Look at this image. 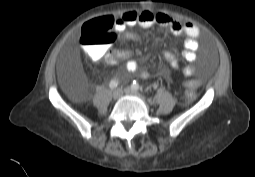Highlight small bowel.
Returning <instances> with one entry per match:
<instances>
[{
	"label": "small bowel",
	"mask_w": 255,
	"mask_h": 177,
	"mask_svg": "<svg viewBox=\"0 0 255 177\" xmlns=\"http://www.w3.org/2000/svg\"><path fill=\"white\" fill-rule=\"evenodd\" d=\"M105 18L108 20L112 28L117 32L122 33V38L124 40H137V37L134 34L125 32L128 27L137 25L141 27H150L158 25L168 28L172 34L185 37L184 49L182 51L183 59L192 63L197 58L199 51V43L197 39L200 35V29L193 23L181 22L164 13L154 14L149 11H126L117 17L105 16ZM88 54L92 60H98L103 57L108 64H115L120 60H126L125 69L129 73H135L139 69L138 63L130 58L132 51L128 49L102 50L97 47H92L88 50ZM163 56L172 68L179 67V58L171 51L165 50ZM182 72L185 76V79L181 83L182 87L198 88L202 85V78L194 75V65L189 64L185 66ZM144 76H147V73H144Z\"/></svg>",
	"instance_id": "c3829d8e"
}]
</instances>
